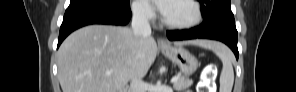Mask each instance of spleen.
I'll return each mask as SVG.
<instances>
[{
    "mask_svg": "<svg viewBox=\"0 0 296 92\" xmlns=\"http://www.w3.org/2000/svg\"><path fill=\"white\" fill-rule=\"evenodd\" d=\"M222 61V71L220 74V92H231L234 83V71L232 66L233 56L229 49L221 43H212L210 46Z\"/></svg>",
    "mask_w": 296,
    "mask_h": 92,
    "instance_id": "spleen-1",
    "label": "spleen"
}]
</instances>
